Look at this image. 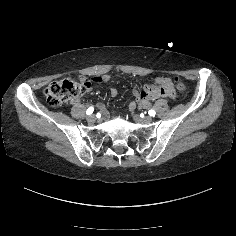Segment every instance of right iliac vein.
Listing matches in <instances>:
<instances>
[{
  "label": "right iliac vein",
  "instance_id": "obj_1",
  "mask_svg": "<svg viewBox=\"0 0 236 236\" xmlns=\"http://www.w3.org/2000/svg\"><path fill=\"white\" fill-rule=\"evenodd\" d=\"M87 120L88 122L93 123L96 121V116L92 114L87 118Z\"/></svg>",
  "mask_w": 236,
  "mask_h": 236
}]
</instances>
